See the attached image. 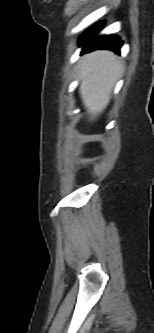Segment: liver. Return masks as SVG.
<instances>
[{"label":"liver","mask_w":154,"mask_h":333,"mask_svg":"<svg viewBox=\"0 0 154 333\" xmlns=\"http://www.w3.org/2000/svg\"><path fill=\"white\" fill-rule=\"evenodd\" d=\"M122 71L121 62L110 51H95L79 61V93L91 120L107 107Z\"/></svg>","instance_id":"6515ba94"}]
</instances>
